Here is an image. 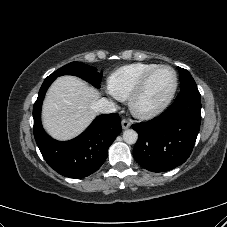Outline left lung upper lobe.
I'll use <instances>...</instances> for the list:
<instances>
[{
	"label": "left lung upper lobe",
	"mask_w": 227,
	"mask_h": 227,
	"mask_svg": "<svg viewBox=\"0 0 227 227\" xmlns=\"http://www.w3.org/2000/svg\"><path fill=\"white\" fill-rule=\"evenodd\" d=\"M178 70H179V73H180L181 88L185 87L187 85H190V84H196L193 77L191 76V74L186 69L178 67Z\"/></svg>",
	"instance_id": "left-lung-upper-lobe-1"
}]
</instances>
